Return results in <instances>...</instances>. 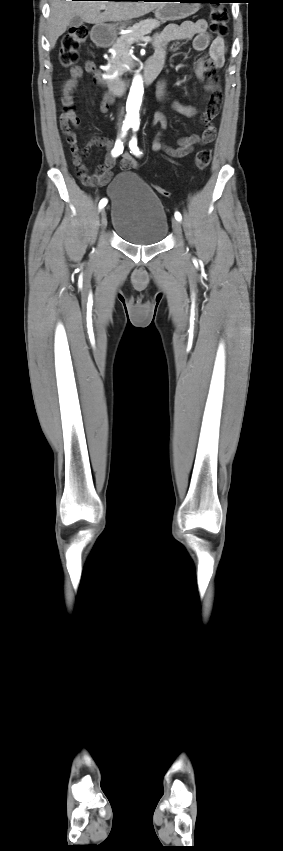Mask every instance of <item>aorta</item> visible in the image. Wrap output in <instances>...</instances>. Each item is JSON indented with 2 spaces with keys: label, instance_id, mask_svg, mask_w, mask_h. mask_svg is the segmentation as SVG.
<instances>
[{
  "label": "aorta",
  "instance_id": "1",
  "mask_svg": "<svg viewBox=\"0 0 283 851\" xmlns=\"http://www.w3.org/2000/svg\"><path fill=\"white\" fill-rule=\"evenodd\" d=\"M144 93L143 80L139 74L133 78L130 92L127 99V120L131 122L139 121V109Z\"/></svg>",
  "mask_w": 283,
  "mask_h": 851
}]
</instances>
